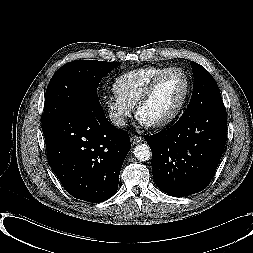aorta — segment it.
<instances>
[{
  "instance_id": "762f6f07",
  "label": "aorta",
  "mask_w": 253,
  "mask_h": 253,
  "mask_svg": "<svg viewBox=\"0 0 253 253\" xmlns=\"http://www.w3.org/2000/svg\"><path fill=\"white\" fill-rule=\"evenodd\" d=\"M134 156L139 161H147L151 157V149L147 144H139L134 149Z\"/></svg>"
}]
</instances>
